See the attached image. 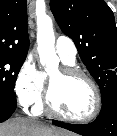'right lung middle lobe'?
Returning a JSON list of instances; mask_svg holds the SVG:
<instances>
[{"label": "right lung middle lobe", "mask_w": 117, "mask_h": 136, "mask_svg": "<svg viewBox=\"0 0 117 136\" xmlns=\"http://www.w3.org/2000/svg\"><path fill=\"white\" fill-rule=\"evenodd\" d=\"M25 57L0 55V93L15 96L14 86Z\"/></svg>", "instance_id": "dd1d6c3e"}]
</instances>
